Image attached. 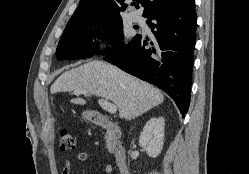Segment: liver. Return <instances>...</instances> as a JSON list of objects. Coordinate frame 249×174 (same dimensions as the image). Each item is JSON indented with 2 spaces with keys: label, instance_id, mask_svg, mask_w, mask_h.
Masks as SVG:
<instances>
[{
  "label": "liver",
  "instance_id": "6515ba94",
  "mask_svg": "<svg viewBox=\"0 0 249 174\" xmlns=\"http://www.w3.org/2000/svg\"><path fill=\"white\" fill-rule=\"evenodd\" d=\"M51 94L86 91L112 101L119 110V116L132 120L160 105L164 100L162 92L119 68L102 61H90L64 72L51 86ZM74 104L86 103L81 98L72 99Z\"/></svg>",
  "mask_w": 249,
  "mask_h": 174
}]
</instances>
